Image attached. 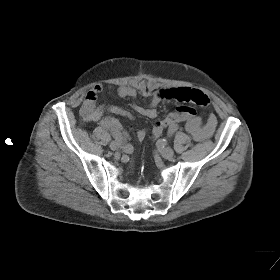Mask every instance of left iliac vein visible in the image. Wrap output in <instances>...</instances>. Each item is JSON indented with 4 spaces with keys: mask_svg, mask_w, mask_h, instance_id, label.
<instances>
[{
    "mask_svg": "<svg viewBox=\"0 0 280 280\" xmlns=\"http://www.w3.org/2000/svg\"><path fill=\"white\" fill-rule=\"evenodd\" d=\"M162 157L165 159H172L174 156V151L170 147H166L160 150Z\"/></svg>",
    "mask_w": 280,
    "mask_h": 280,
    "instance_id": "obj_1",
    "label": "left iliac vein"
}]
</instances>
